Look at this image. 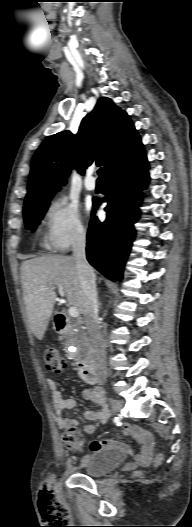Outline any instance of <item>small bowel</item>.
<instances>
[{
	"label": "small bowel",
	"mask_w": 192,
	"mask_h": 527,
	"mask_svg": "<svg viewBox=\"0 0 192 527\" xmlns=\"http://www.w3.org/2000/svg\"><path fill=\"white\" fill-rule=\"evenodd\" d=\"M47 383L52 392L53 407L57 414V426L62 430H68L70 427L76 426V419L62 416V412L71 410L75 407V400L73 398L63 397L56 382L52 378H49ZM83 397L99 406L98 411H85L84 417L90 421L99 420L101 423H105L109 418L110 412L104 401L101 389L99 387L86 388L83 391ZM95 430V424H87L83 427V431L86 434H92ZM122 432L125 436L131 437L139 446L140 452L136 455V460L139 462L140 468L143 470L148 469L154 451L152 435L149 432L130 424L123 425ZM103 447H113L122 451H129V447L126 444L113 440H98L91 444L92 450Z\"/></svg>",
	"instance_id": "small-bowel-1"
}]
</instances>
